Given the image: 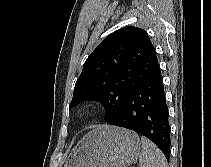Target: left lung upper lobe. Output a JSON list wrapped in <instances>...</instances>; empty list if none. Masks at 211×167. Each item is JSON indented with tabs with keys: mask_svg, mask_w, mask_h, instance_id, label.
Segmentation results:
<instances>
[{
	"mask_svg": "<svg viewBox=\"0 0 211 167\" xmlns=\"http://www.w3.org/2000/svg\"><path fill=\"white\" fill-rule=\"evenodd\" d=\"M157 64L147 32L133 26L121 28L107 36L85 61L69 108L85 100L100 101L107 122Z\"/></svg>",
	"mask_w": 211,
	"mask_h": 167,
	"instance_id": "obj_1",
	"label": "left lung upper lobe"
}]
</instances>
